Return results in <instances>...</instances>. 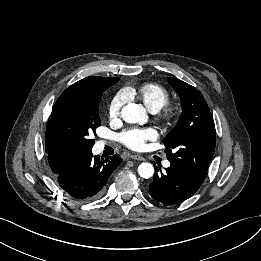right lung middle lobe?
I'll return each mask as SVG.
<instances>
[{
	"label": "right lung middle lobe",
	"instance_id": "1",
	"mask_svg": "<svg viewBox=\"0 0 261 261\" xmlns=\"http://www.w3.org/2000/svg\"><path fill=\"white\" fill-rule=\"evenodd\" d=\"M118 80L116 78L102 89L89 92L65 90L49 117L45 148L80 153L91 151L95 141L90 136L101 125L98 106L102 92Z\"/></svg>",
	"mask_w": 261,
	"mask_h": 261
}]
</instances>
